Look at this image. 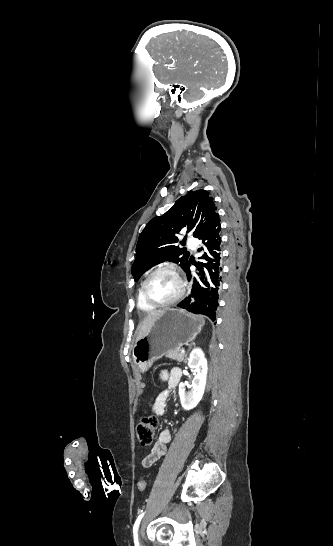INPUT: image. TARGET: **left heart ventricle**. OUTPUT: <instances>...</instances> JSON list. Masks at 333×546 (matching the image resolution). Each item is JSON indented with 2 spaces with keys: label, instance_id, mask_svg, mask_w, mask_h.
I'll list each match as a JSON object with an SVG mask.
<instances>
[{
  "label": "left heart ventricle",
  "instance_id": "obj_1",
  "mask_svg": "<svg viewBox=\"0 0 333 546\" xmlns=\"http://www.w3.org/2000/svg\"><path fill=\"white\" fill-rule=\"evenodd\" d=\"M179 281L170 271L156 273L147 286L148 294L158 302H165L174 298L179 292Z\"/></svg>",
  "mask_w": 333,
  "mask_h": 546
}]
</instances>
